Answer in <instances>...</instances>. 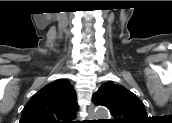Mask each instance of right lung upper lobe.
<instances>
[{
	"instance_id": "right-lung-upper-lobe-1",
	"label": "right lung upper lobe",
	"mask_w": 172,
	"mask_h": 123,
	"mask_svg": "<svg viewBox=\"0 0 172 123\" xmlns=\"http://www.w3.org/2000/svg\"><path fill=\"white\" fill-rule=\"evenodd\" d=\"M78 108L68 80L58 79L40 89L26 104L20 123H71Z\"/></svg>"
}]
</instances>
